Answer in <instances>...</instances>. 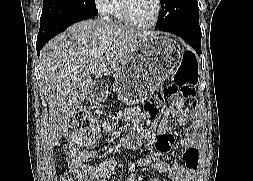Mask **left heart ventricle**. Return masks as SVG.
<instances>
[{
    "label": "left heart ventricle",
    "instance_id": "1",
    "mask_svg": "<svg viewBox=\"0 0 253 181\" xmlns=\"http://www.w3.org/2000/svg\"><path fill=\"white\" fill-rule=\"evenodd\" d=\"M131 17L138 22L152 20L156 10L155 0H127Z\"/></svg>",
    "mask_w": 253,
    "mask_h": 181
}]
</instances>
